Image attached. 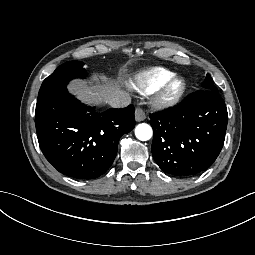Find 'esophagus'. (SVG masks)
Here are the masks:
<instances>
[{
  "instance_id": "esophagus-1",
  "label": "esophagus",
  "mask_w": 255,
  "mask_h": 255,
  "mask_svg": "<svg viewBox=\"0 0 255 255\" xmlns=\"http://www.w3.org/2000/svg\"><path fill=\"white\" fill-rule=\"evenodd\" d=\"M146 118V114L144 112V110L140 107H138L135 111V119L138 122L143 121Z\"/></svg>"
}]
</instances>
